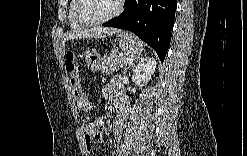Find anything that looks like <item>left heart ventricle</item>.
<instances>
[{
  "label": "left heart ventricle",
  "mask_w": 247,
  "mask_h": 156,
  "mask_svg": "<svg viewBox=\"0 0 247 156\" xmlns=\"http://www.w3.org/2000/svg\"><path fill=\"white\" fill-rule=\"evenodd\" d=\"M115 6L113 0L86 1L82 10V17L86 20H95L110 14Z\"/></svg>",
  "instance_id": "1"
}]
</instances>
